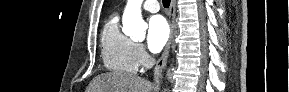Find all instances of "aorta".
Instances as JSON below:
<instances>
[{
  "mask_svg": "<svg viewBox=\"0 0 289 92\" xmlns=\"http://www.w3.org/2000/svg\"><path fill=\"white\" fill-rule=\"evenodd\" d=\"M142 0H128L123 13V32L138 39L145 37L147 24L141 14Z\"/></svg>",
  "mask_w": 289,
  "mask_h": 92,
  "instance_id": "1",
  "label": "aorta"
}]
</instances>
